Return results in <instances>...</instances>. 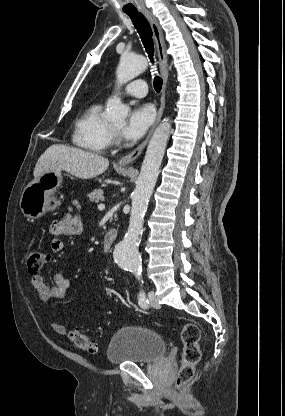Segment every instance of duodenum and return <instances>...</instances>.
I'll return each mask as SVG.
<instances>
[{
    "instance_id": "410a0bca",
    "label": "duodenum",
    "mask_w": 285,
    "mask_h": 416,
    "mask_svg": "<svg viewBox=\"0 0 285 416\" xmlns=\"http://www.w3.org/2000/svg\"><path fill=\"white\" fill-rule=\"evenodd\" d=\"M116 237L117 231L114 229H110L105 233L102 241V248L105 252H109L111 250Z\"/></svg>"
}]
</instances>
